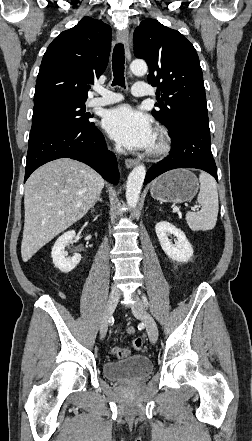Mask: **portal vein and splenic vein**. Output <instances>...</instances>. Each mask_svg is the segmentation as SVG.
<instances>
[{"instance_id":"18ae733b","label":"portal vein and splenic vein","mask_w":252,"mask_h":441,"mask_svg":"<svg viewBox=\"0 0 252 441\" xmlns=\"http://www.w3.org/2000/svg\"><path fill=\"white\" fill-rule=\"evenodd\" d=\"M197 207L192 208V210H195Z\"/></svg>"}]
</instances>
